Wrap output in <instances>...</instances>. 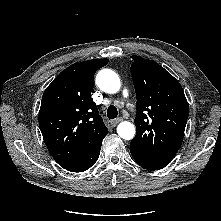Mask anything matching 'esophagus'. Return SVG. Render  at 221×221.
I'll return each instance as SVG.
<instances>
[{
    "instance_id": "34e87169",
    "label": "esophagus",
    "mask_w": 221,
    "mask_h": 221,
    "mask_svg": "<svg viewBox=\"0 0 221 221\" xmlns=\"http://www.w3.org/2000/svg\"><path fill=\"white\" fill-rule=\"evenodd\" d=\"M121 121H123V118H116L114 120L111 121V125L113 127H115L118 123H120Z\"/></svg>"
}]
</instances>
